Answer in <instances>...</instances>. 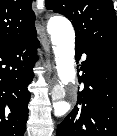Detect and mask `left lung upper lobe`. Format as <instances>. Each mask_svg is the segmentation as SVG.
<instances>
[{
	"instance_id": "1",
	"label": "left lung upper lobe",
	"mask_w": 117,
	"mask_h": 136,
	"mask_svg": "<svg viewBox=\"0 0 117 136\" xmlns=\"http://www.w3.org/2000/svg\"><path fill=\"white\" fill-rule=\"evenodd\" d=\"M45 4L48 10L71 20L76 43L117 54V18L112 0H46Z\"/></svg>"
}]
</instances>
